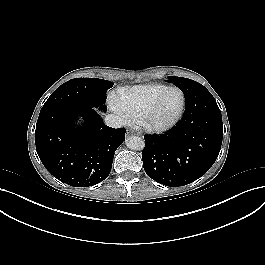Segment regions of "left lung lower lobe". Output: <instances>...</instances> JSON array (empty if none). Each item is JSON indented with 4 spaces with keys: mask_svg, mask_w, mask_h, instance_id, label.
Here are the masks:
<instances>
[{
    "mask_svg": "<svg viewBox=\"0 0 265 265\" xmlns=\"http://www.w3.org/2000/svg\"><path fill=\"white\" fill-rule=\"evenodd\" d=\"M186 100L182 120L164 135H145L143 167L156 182L169 187L187 185L214 164L223 137L218 106L206 104L198 85L183 90Z\"/></svg>",
    "mask_w": 265,
    "mask_h": 265,
    "instance_id": "left-lung-lower-lobe-1",
    "label": "left lung lower lobe"
}]
</instances>
